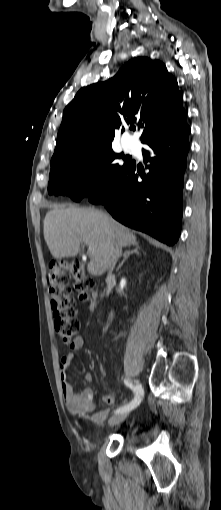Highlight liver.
Returning a JSON list of instances; mask_svg holds the SVG:
<instances>
[{"label":"liver","instance_id":"obj_1","mask_svg":"<svg viewBox=\"0 0 221 510\" xmlns=\"http://www.w3.org/2000/svg\"><path fill=\"white\" fill-rule=\"evenodd\" d=\"M44 239L56 259L75 257L82 244L91 250L87 270L101 276L109 269V250L113 242L121 246L136 244V236L108 214L94 208L58 206L44 219Z\"/></svg>","mask_w":221,"mask_h":510}]
</instances>
